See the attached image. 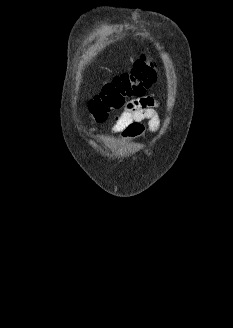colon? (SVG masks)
<instances>
[{
  "label": "colon",
  "instance_id": "obj_1",
  "mask_svg": "<svg viewBox=\"0 0 233 328\" xmlns=\"http://www.w3.org/2000/svg\"><path fill=\"white\" fill-rule=\"evenodd\" d=\"M156 80V64L146 54L134 63L131 71L116 76L90 101L89 110L96 121L106 120L111 111L123 106L126 98L143 97Z\"/></svg>",
  "mask_w": 233,
  "mask_h": 328
}]
</instances>
